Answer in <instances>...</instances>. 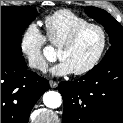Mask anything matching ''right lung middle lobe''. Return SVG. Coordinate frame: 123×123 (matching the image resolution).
<instances>
[{
  "label": "right lung middle lobe",
  "instance_id": "right-lung-middle-lobe-1",
  "mask_svg": "<svg viewBox=\"0 0 123 123\" xmlns=\"http://www.w3.org/2000/svg\"><path fill=\"white\" fill-rule=\"evenodd\" d=\"M37 14L36 8L30 6L1 7V49L22 55L23 31Z\"/></svg>",
  "mask_w": 123,
  "mask_h": 123
}]
</instances>
